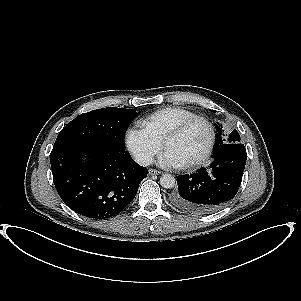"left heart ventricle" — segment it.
Listing matches in <instances>:
<instances>
[{"instance_id":"left-heart-ventricle-1","label":"left heart ventricle","mask_w":301,"mask_h":301,"mask_svg":"<svg viewBox=\"0 0 301 301\" xmlns=\"http://www.w3.org/2000/svg\"><path fill=\"white\" fill-rule=\"evenodd\" d=\"M209 139L206 125L195 122L187 127L180 135L172 138L166 147L186 163L199 157L205 150Z\"/></svg>"}]
</instances>
